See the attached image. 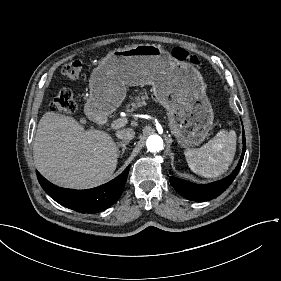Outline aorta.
<instances>
[{
    "label": "aorta",
    "mask_w": 281,
    "mask_h": 281,
    "mask_svg": "<svg viewBox=\"0 0 281 281\" xmlns=\"http://www.w3.org/2000/svg\"><path fill=\"white\" fill-rule=\"evenodd\" d=\"M146 146L150 152H159L163 149V140L158 135H150L146 141Z\"/></svg>",
    "instance_id": "obj_1"
}]
</instances>
